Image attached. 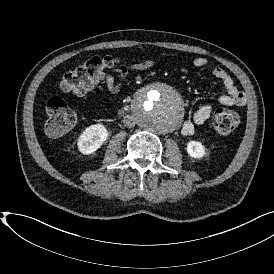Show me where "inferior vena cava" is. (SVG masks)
Instances as JSON below:
<instances>
[{
	"instance_id": "obj_1",
	"label": "inferior vena cava",
	"mask_w": 274,
	"mask_h": 274,
	"mask_svg": "<svg viewBox=\"0 0 274 274\" xmlns=\"http://www.w3.org/2000/svg\"><path fill=\"white\" fill-rule=\"evenodd\" d=\"M123 122L127 127H133L135 125V123L133 122V118L131 117L125 118Z\"/></svg>"
}]
</instances>
